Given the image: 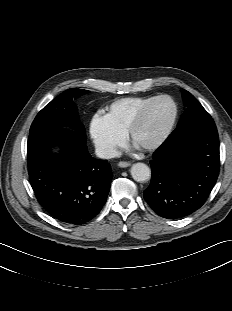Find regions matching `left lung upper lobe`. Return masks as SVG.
Here are the masks:
<instances>
[{
	"instance_id": "5c2ea615",
	"label": "left lung upper lobe",
	"mask_w": 232,
	"mask_h": 311,
	"mask_svg": "<svg viewBox=\"0 0 232 311\" xmlns=\"http://www.w3.org/2000/svg\"><path fill=\"white\" fill-rule=\"evenodd\" d=\"M184 104L186 109L181 116L178 124L187 120H192L199 117L208 116L209 113L203 108V106L195 99V97L186 90L182 91Z\"/></svg>"
}]
</instances>
